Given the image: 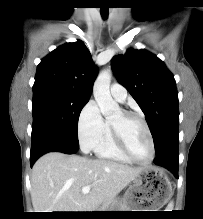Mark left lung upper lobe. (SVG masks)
<instances>
[{
	"mask_svg": "<svg viewBox=\"0 0 203 219\" xmlns=\"http://www.w3.org/2000/svg\"><path fill=\"white\" fill-rule=\"evenodd\" d=\"M112 69L144 112L157 155L178 140V93L172 73L159 58L143 49L116 55Z\"/></svg>",
	"mask_w": 203,
	"mask_h": 219,
	"instance_id": "1",
	"label": "left lung upper lobe"
}]
</instances>
